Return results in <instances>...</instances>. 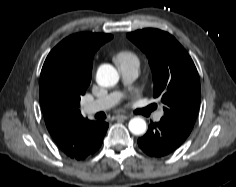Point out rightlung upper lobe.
Instances as JSON below:
<instances>
[{
    "instance_id": "obj_1",
    "label": "right lung upper lobe",
    "mask_w": 236,
    "mask_h": 187,
    "mask_svg": "<svg viewBox=\"0 0 236 187\" xmlns=\"http://www.w3.org/2000/svg\"><path fill=\"white\" fill-rule=\"evenodd\" d=\"M112 38L73 34L52 49L41 70L39 97L46 127L61 150L76 160L84 155L97 122L81 115L77 98L90 84L94 53Z\"/></svg>"
}]
</instances>
